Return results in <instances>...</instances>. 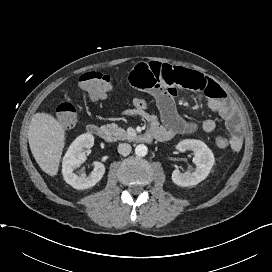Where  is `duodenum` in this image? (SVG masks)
<instances>
[{"label":"duodenum","mask_w":272,"mask_h":272,"mask_svg":"<svg viewBox=\"0 0 272 272\" xmlns=\"http://www.w3.org/2000/svg\"><path fill=\"white\" fill-rule=\"evenodd\" d=\"M87 132L105 141L111 140V136L107 132V130H105L99 125H96V124L88 125ZM155 139H156V134L152 131L145 132L137 137V141L140 143H151Z\"/></svg>","instance_id":"410a0bca"}]
</instances>
